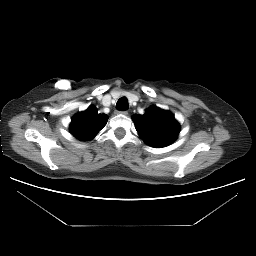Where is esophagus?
<instances>
[{
    "label": "esophagus",
    "mask_w": 256,
    "mask_h": 256,
    "mask_svg": "<svg viewBox=\"0 0 256 256\" xmlns=\"http://www.w3.org/2000/svg\"><path fill=\"white\" fill-rule=\"evenodd\" d=\"M117 113L123 114V115H128V112H127V111H119V112H117Z\"/></svg>",
    "instance_id": "obj_1"
}]
</instances>
